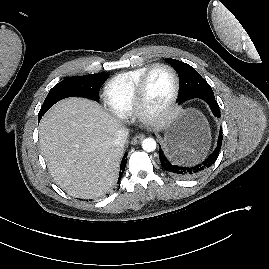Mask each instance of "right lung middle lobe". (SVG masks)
Wrapping results in <instances>:
<instances>
[{
	"instance_id": "dd1d6c3e",
	"label": "right lung middle lobe",
	"mask_w": 269,
	"mask_h": 269,
	"mask_svg": "<svg viewBox=\"0 0 269 269\" xmlns=\"http://www.w3.org/2000/svg\"><path fill=\"white\" fill-rule=\"evenodd\" d=\"M108 76V73H98L68 77L59 82L48 93L40 109L38 120L42 118L51 106L67 97L79 96L98 101L100 88L108 79Z\"/></svg>"
}]
</instances>
